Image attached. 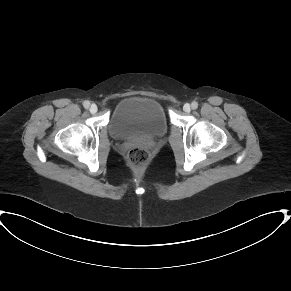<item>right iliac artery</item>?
Returning <instances> with one entry per match:
<instances>
[{"instance_id":"obj_1","label":"right iliac artery","mask_w":291,"mask_h":291,"mask_svg":"<svg viewBox=\"0 0 291 291\" xmlns=\"http://www.w3.org/2000/svg\"><path fill=\"white\" fill-rule=\"evenodd\" d=\"M83 106L87 109L90 106V102L89 101H84L83 102Z\"/></svg>"}]
</instances>
